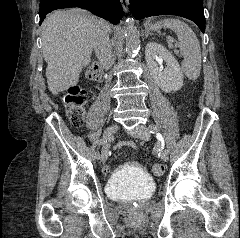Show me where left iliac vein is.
Listing matches in <instances>:
<instances>
[{
	"label": "left iliac vein",
	"instance_id": "left-iliac-vein-1",
	"mask_svg": "<svg viewBox=\"0 0 240 238\" xmlns=\"http://www.w3.org/2000/svg\"><path fill=\"white\" fill-rule=\"evenodd\" d=\"M131 135L144 141H148L150 139V131L144 125H137L135 128H133V130L131 131ZM160 157L163 161H167L168 152L166 155H163L161 152Z\"/></svg>",
	"mask_w": 240,
	"mask_h": 238
}]
</instances>
